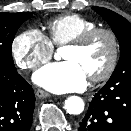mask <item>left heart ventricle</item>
Wrapping results in <instances>:
<instances>
[{"mask_svg":"<svg viewBox=\"0 0 131 131\" xmlns=\"http://www.w3.org/2000/svg\"><path fill=\"white\" fill-rule=\"evenodd\" d=\"M111 55V44L104 35H98L84 48L65 47L62 52L64 60L77 63L87 77L100 73L108 64Z\"/></svg>","mask_w":131,"mask_h":131,"instance_id":"obj_1","label":"left heart ventricle"}]
</instances>
